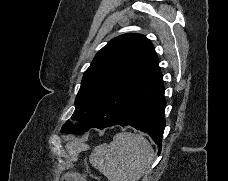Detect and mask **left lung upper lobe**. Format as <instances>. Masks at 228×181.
Here are the masks:
<instances>
[{
    "instance_id": "obj_1",
    "label": "left lung upper lobe",
    "mask_w": 228,
    "mask_h": 181,
    "mask_svg": "<svg viewBox=\"0 0 228 181\" xmlns=\"http://www.w3.org/2000/svg\"><path fill=\"white\" fill-rule=\"evenodd\" d=\"M157 62L154 47L144 35L127 33L112 39L83 75L71 117L82 123L67 121L61 131L79 135L118 122L134 89Z\"/></svg>"
}]
</instances>
